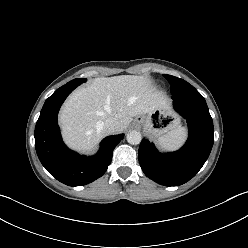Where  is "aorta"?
<instances>
[{"mask_svg":"<svg viewBox=\"0 0 248 248\" xmlns=\"http://www.w3.org/2000/svg\"><path fill=\"white\" fill-rule=\"evenodd\" d=\"M126 139L128 143L132 145H137L141 142L142 137H141L140 132L133 130L127 134Z\"/></svg>","mask_w":248,"mask_h":248,"instance_id":"obj_1","label":"aorta"}]
</instances>
